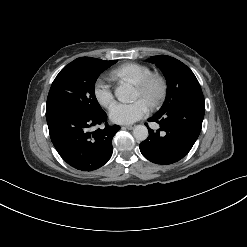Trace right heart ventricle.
I'll use <instances>...</instances> for the list:
<instances>
[{
	"mask_svg": "<svg viewBox=\"0 0 247 247\" xmlns=\"http://www.w3.org/2000/svg\"><path fill=\"white\" fill-rule=\"evenodd\" d=\"M152 73L149 66L140 63H125L112 71V75L117 78H129L138 83Z\"/></svg>",
	"mask_w": 247,
	"mask_h": 247,
	"instance_id": "right-heart-ventricle-1",
	"label": "right heart ventricle"
}]
</instances>
